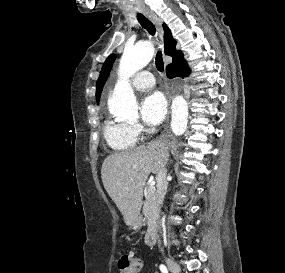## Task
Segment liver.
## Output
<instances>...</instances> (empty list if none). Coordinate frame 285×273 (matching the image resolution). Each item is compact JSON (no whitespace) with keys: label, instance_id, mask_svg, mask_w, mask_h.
I'll return each mask as SVG.
<instances>
[{"label":"liver","instance_id":"obj_1","mask_svg":"<svg viewBox=\"0 0 285 273\" xmlns=\"http://www.w3.org/2000/svg\"><path fill=\"white\" fill-rule=\"evenodd\" d=\"M168 156L166 143L154 141L134 150L113 153L104 160L101 168L104 188L127 225L139 220L145 182L150 173L158 174Z\"/></svg>","mask_w":285,"mask_h":273}]
</instances>
